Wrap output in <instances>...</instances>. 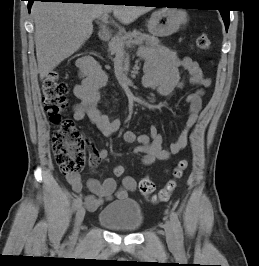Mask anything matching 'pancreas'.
I'll return each instance as SVG.
<instances>
[{"label":"pancreas","instance_id":"obj_1","mask_svg":"<svg viewBox=\"0 0 259 266\" xmlns=\"http://www.w3.org/2000/svg\"><path fill=\"white\" fill-rule=\"evenodd\" d=\"M143 42L146 44L145 47L155 48L159 45L160 40L157 37L136 30L124 34L119 33L109 41L108 51L111 55H118L124 52L125 47L140 45Z\"/></svg>","mask_w":259,"mask_h":266}]
</instances>
